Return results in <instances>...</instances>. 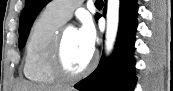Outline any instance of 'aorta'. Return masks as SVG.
I'll use <instances>...</instances> for the list:
<instances>
[{
  "label": "aorta",
  "mask_w": 173,
  "mask_h": 91,
  "mask_svg": "<svg viewBox=\"0 0 173 91\" xmlns=\"http://www.w3.org/2000/svg\"><path fill=\"white\" fill-rule=\"evenodd\" d=\"M120 0H108L107 3V31H106V51L113 49L119 24Z\"/></svg>",
  "instance_id": "obj_1"
}]
</instances>
